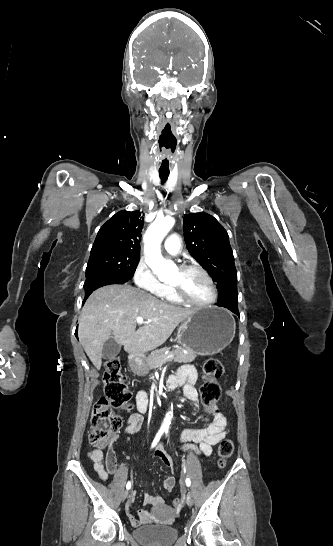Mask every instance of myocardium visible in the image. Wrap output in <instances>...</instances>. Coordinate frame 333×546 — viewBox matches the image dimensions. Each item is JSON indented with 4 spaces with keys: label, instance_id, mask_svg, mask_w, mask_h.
I'll list each match as a JSON object with an SVG mask.
<instances>
[{
    "label": "myocardium",
    "instance_id": "myocardium-1",
    "mask_svg": "<svg viewBox=\"0 0 333 546\" xmlns=\"http://www.w3.org/2000/svg\"><path fill=\"white\" fill-rule=\"evenodd\" d=\"M190 270L198 271L205 277V279L207 280V282L210 285V288L212 290L211 298L209 300H207V301H204V302H197V301L191 300L190 298H188L184 294L183 290L178 285L172 284L171 288H172V291H173L174 295L181 302L192 305V306H196V307H207V306H210V305L214 304L216 302L217 298H218V290H217V286H216L213 278L211 277V275L203 267H201L200 265H197V264H186V265H182L181 267H179L180 272H186V271H190Z\"/></svg>",
    "mask_w": 333,
    "mask_h": 546
}]
</instances>
